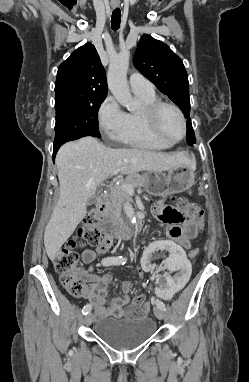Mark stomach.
<instances>
[{
	"label": "stomach",
	"mask_w": 249,
	"mask_h": 382,
	"mask_svg": "<svg viewBox=\"0 0 249 382\" xmlns=\"http://www.w3.org/2000/svg\"><path fill=\"white\" fill-rule=\"evenodd\" d=\"M148 182L146 190L154 196H164L180 193L190 189L195 183V169L190 165H179L168 171L148 173L145 175Z\"/></svg>",
	"instance_id": "stomach-1"
}]
</instances>
